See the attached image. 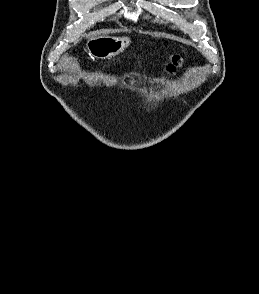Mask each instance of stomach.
I'll return each instance as SVG.
<instances>
[{
	"label": "stomach",
	"mask_w": 259,
	"mask_h": 294,
	"mask_svg": "<svg viewBox=\"0 0 259 294\" xmlns=\"http://www.w3.org/2000/svg\"><path fill=\"white\" fill-rule=\"evenodd\" d=\"M130 43L131 41L127 37L100 35L89 38L86 47L93 57L107 59L123 52Z\"/></svg>",
	"instance_id": "obj_1"
}]
</instances>
